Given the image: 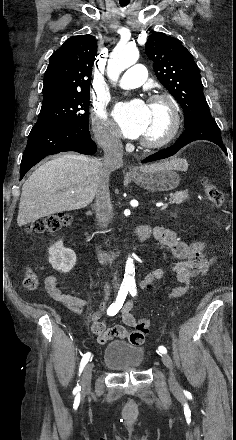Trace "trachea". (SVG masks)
I'll list each match as a JSON object with an SVG mask.
<instances>
[{
	"mask_svg": "<svg viewBox=\"0 0 236 440\" xmlns=\"http://www.w3.org/2000/svg\"><path fill=\"white\" fill-rule=\"evenodd\" d=\"M121 4V6H127L128 5V3H120Z\"/></svg>",
	"mask_w": 236,
	"mask_h": 440,
	"instance_id": "obj_1",
	"label": "trachea"
}]
</instances>
